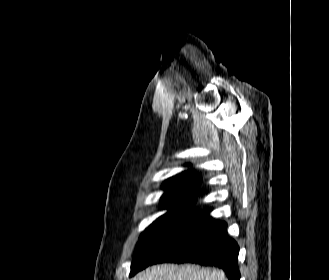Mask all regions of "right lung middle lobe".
<instances>
[{
	"mask_svg": "<svg viewBox=\"0 0 329 280\" xmlns=\"http://www.w3.org/2000/svg\"><path fill=\"white\" fill-rule=\"evenodd\" d=\"M195 200H163L162 208H171L154 221L140 236L131 264L130 276L147 267L157 255L198 215L192 208Z\"/></svg>",
	"mask_w": 329,
	"mask_h": 280,
	"instance_id": "right-lung-middle-lobe-1",
	"label": "right lung middle lobe"
}]
</instances>
